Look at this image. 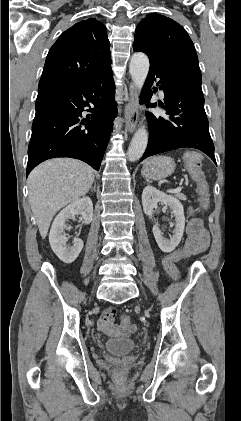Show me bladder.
Masks as SVG:
<instances>
[{"instance_id": "1", "label": "bladder", "mask_w": 241, "mask_h": 421, "mask_svg": "<svg viewBox=\"0 0 241 421\" xmlns=\"http://www.w3.org/2000/svg\"><path fill=\"white\" fill-rule=\"evenodd\" d=\"M104 347L106 351L115 355H124L137 348V343L132 339H112L108 340Z\"/></svg>"}]
</instances>
